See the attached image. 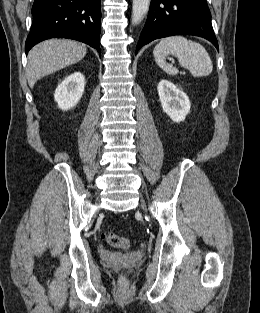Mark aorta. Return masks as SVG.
Instances as JSON below:
<instances>
[{
    "instance_id": "762f6f07",
    "label": "aorta",
    "mask_w": 260,
    "mask_h": 313,
    "mask_svg": "<svg viewBox=\"0 0 260 313\" xmlns=\"http://www.w3.org/2000/svg\"><path fill=\"white\" fill-rule=\"evenodd\" d=\"M150 0H133L132 23L139 24L149 9Z\"/></svg>"
}]
</instances>
